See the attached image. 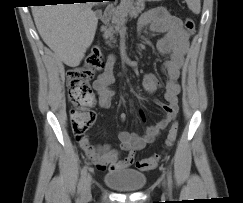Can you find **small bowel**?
Listing matches in <instances>:
<instances>
[{"label":"small bowel","instance_id":"obj_1","mask_svg":"<svg viewBox=\"0 0 243 203\" xmlns=\"http://www.w3.org/2000/svg\"><path fill=\"white\" fill-rule=\"evenodd\" d=\"M147 27H150L154 33L163 34V37L157 43V50L162 55L168 56V60L164 62L162 67L166 75L164 85L165 102L156 101L164 110V116L158 123L147 126L143 134L131 133L125 130L118 133L120 150L128 153L124 159L120 158L119 150L112 148L110 145L96 147L87 138L80 140V148L93 161L98 170L109 169L113 171L128 167L134 162L135 153L151 143L160 131L166 128L177 116V96L180 91L178 79L189 52L188 37L181 20L162 7L151 8L141 15L137 23V31L142 32ZM115 63V55H108L104 70L94 82V88L98 95V106L101 109H108L111 106V100L115 94V91L110 88L114 79ZM143 86L147 92L153 93L160 87V83L154 75L146 74L143 77ZM135 111L141 122H145L143 109L138 107ZM119 119L124 122L127 115L121 113Z\"/></svg>","mask_w":243,"mask_h":203}]
</instances>
